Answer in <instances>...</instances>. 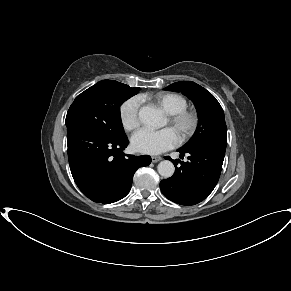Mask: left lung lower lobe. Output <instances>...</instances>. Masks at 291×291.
<instances>
[{"label":"left lung lower lobe","mask_w":291,"mask_h":291,"mask_svg":"<svg viewBox=\"0 0 291 291\" xmlns=\"http://www.w3.org/2000/svg\"><path fill=\"white\" fill-rule=\"evenodd\" d=\"M226 145L197 144L178 149L187 162L173 160L175 173L160 182L165 197L181 205H195L203 201L215 188L222 169ZM171 159L170 157H165ZM180 162L181 166L178 167Z\"/></svg>","instance_id":"obj_1"}]
</instances>
